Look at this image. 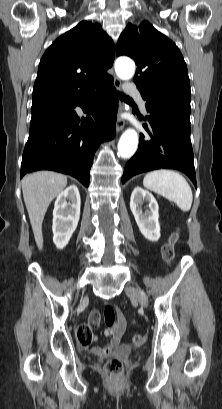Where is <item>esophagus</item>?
Segmentation results:
<instances>
[{
	"label": "esophagus",
	"instance_id": "esophagus-1",
	"mask_svg": "<svg viewBox=\"0 0 222 409\" xmlns=\"http://www.w3.org/2000/svg\"><path fill=\"white\" fill-rule=\"evenodd\" d=\"M114 86H115V88H116L117 90H120V89H121V82H120V80H119L116 76L114 77ZM123 110H124L123 103L120 102L119 112L122 113ZM124 126H125V121H124V119H122L121 117H119V118L117 119V122H116V131H117V132H120V131L124 128Z\"/></svg>",
	"mask_w": 222,
	"mask_h": 409
}]
</instances>
